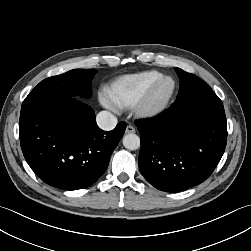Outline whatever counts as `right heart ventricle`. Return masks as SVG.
Wrapping results in <instances>:
<instances>
[{
	"mask_svg": "<svg viewBox=\"0 0 251 251\" xmlns=\"http://www.w3.org/2000/svg\"><path fill=\"white\" fill-rule=\"evenodd\" d=\"M162 76H164L163 73L156 70L123 75L110 83L105 90V95L110 104L115 108H130Z\"/></svg>",
	"mask_w": 251,
	"mask_h": 251,
	"instance_id": "1",
	"label": "right heart ventricle"
}]
</instances>
